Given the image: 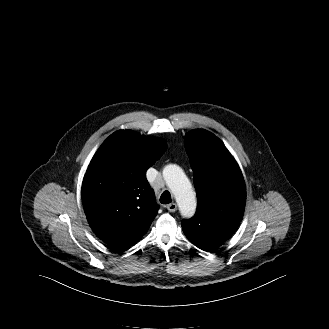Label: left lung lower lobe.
Listing matches in <instances>:
<instances>
[{
	"instance_id": "obj_1",
	"label": "left lung lower lobe",
	"mask_w": 329,
	"mask_h": 329,
	"mask_svg": "<svg viewBox=\"0 0 329 329\" xmlns=\"http://www.w3.org/2000/svg\"><path fill=\"white\" fill-rule=\"evenodd\" d=\"M229 236H220L215 240H205L201 242H193L198 248L211 252L218 248Z\"/></svg>"
}]
</instances>
